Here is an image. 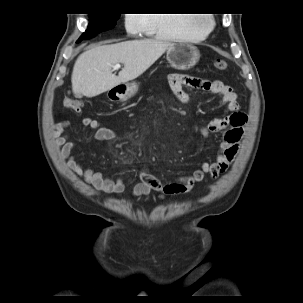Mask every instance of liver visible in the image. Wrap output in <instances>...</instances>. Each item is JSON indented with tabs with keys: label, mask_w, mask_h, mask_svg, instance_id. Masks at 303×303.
Segmentation results:
<instances>
[{
	"label": "liver",
	"mask_w": 303,
	"mask_h": 303,
	"mask_svg": "<svg viewBox=\"0 0 303 303\" xmlns=\"http://www.w3.org/2000/svg\"><path fill=\"white\" fill-rule=\"evenodd\" d=\"M173 43L161 39L124 41L98 45L82 53L76 60L71 82L76 97H95L115 86L143 74ZM123 63L118 76L113 67Z\"/></svg>",
	"instance_id": "obj_1"
}]
</instances>
